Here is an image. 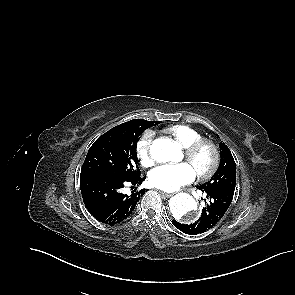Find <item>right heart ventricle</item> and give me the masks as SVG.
<instances>
[{"instance_id": "obj_1", "label": "right heart ventricle", "mask_w": 295, "mask_h": 295, "mask_svg": "<svg viewBox=\"0 0 295 295\" xmlns=\"http://www.w3.org/2000/svg\"><path fill=\"white\" fill-rule=\"evenodd\" d=\"M183 148L203 139V135L187 125H172L165 129Z\"/></svg>"}]
</instances>
